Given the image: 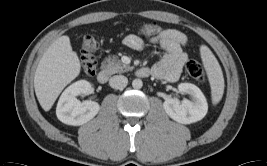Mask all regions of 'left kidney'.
<instances>
[{
  "instance_id": "5707ae66",
  "label": "left kidney",
  "mask_w": 267,
  "mask_h": 166,
  "mask_svg": "<svg viewBox=\"0 0 267 166\" xmlns=\"http://www.w3.org/2000/svg\"><path fill=\"white\" fill-rule=\"evenodd\" d=\"M179 92L189 94L193 101H179L177 98H168L163 103L167 115L178 123L190 124L204 118L208 111V104L202 91L191 83H180Z\"/></svg>"
}]
</instances>
